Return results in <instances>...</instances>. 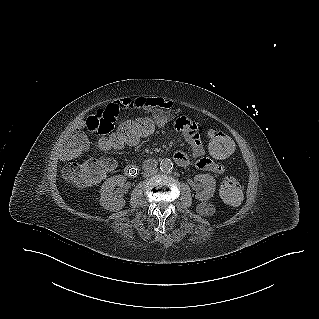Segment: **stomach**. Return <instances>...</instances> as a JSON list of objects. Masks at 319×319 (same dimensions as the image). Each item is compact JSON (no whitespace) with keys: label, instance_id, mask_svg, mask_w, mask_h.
Listing matches in <instances>:
<instances>
[{"label":"stomach","instance_id":"obj_1","mask_svg":"<svg viewBox=\"0 0 319 319\" xmlns=\"http://www.w3.org/2000/svg\"><path fill=\"white\" fill-rule=\"evenodd\" d=\"M152 114H154V113H148V114H146V115H145V118H148V117H149L150 115H152ZM162 114L167 117L168 121L170 120V118H171L170 114H168V113H162Z\"/></svg>","mask_w":319,"mask_h":319}]
</instances>
